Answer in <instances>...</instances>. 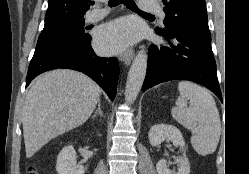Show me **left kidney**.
Instances as JSON below:
<instances>
[{
    "instance_id": "1",
    "label": "left kidney",
    "mask_w": 249,
    "mask_h": 174,
    "mask_svg": "<svg viewBox=\"0 0 249 174\" xmlns=\"http://www.w3.org/2000/svg\"><path fill=\"white\" fill-rule=\"evenodd\" d=\"M149 141L152 146L160 145L164 140H169L173 143L174 146L180 147L183 152L186 151L185 141L183 135L179 129L173 125L167 124H158L150 128L149 131ZM177 163L180 164V168L177 172L171 171L168 168V162L165 159L159 160L156 165L158 174H189L190 173V164L189 160L186 157L185 153L183 156L179 157Z\"/></svg>"
}]
</instances>
